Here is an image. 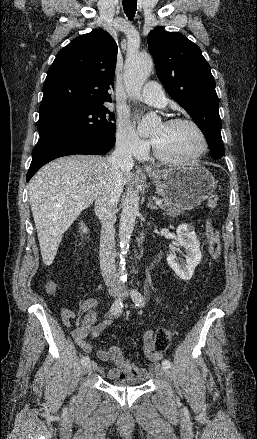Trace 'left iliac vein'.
<instances>
[{
    "mask_svg": "<svg viewBox=\"0 0 257 439\" xmlns=\"http://www.w3.org/2000/svg\"><path fill=\"white\" fill-rule=\"evenodd\" d=\"M127 294H128V293H127L126 291H123V293H122L123 296H127ZM159 374H160L163 378H165V379H167V380L170 379V372H169L168 368H166V367H162V368L159 370Z\"/></svg>",
    "mask_w": 257,
    "mask_h": 439,
    "instance_id": "4c4485c4",
    "label": "left iliac vein"
}]
</instances>
